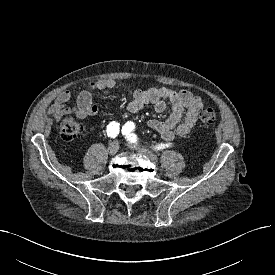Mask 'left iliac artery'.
Wrapping results in <instances>:
<instances>
[{
  "instance_id": "1",
  "label": "left iliac artery",
  "mask_w": 275,
  "mask_h": 275,
  "mask_svg": "<svg viewBox=\"0 0 275 275\" xmlns=\"http://www.w3.org/2000/svg\"><path fill=\"white\" fill-rule=\"evenodd\" d=\"M135 129V125L133 122H127L124 124V126L122 127V133L123 135L126 136L127 140H129L131 143H136L138 142V138L137 135L132 133V131H134ZM171 144H159L156 147H154V150H161L164 148H168L170 147Z\"/></svg>"
}]
</instances>
